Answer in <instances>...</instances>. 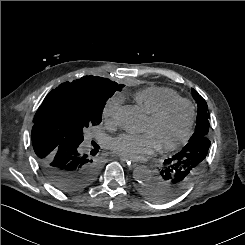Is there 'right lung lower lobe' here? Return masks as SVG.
Wrapping results in <instances>:
<instances>
[{"label":"right lung lower lobe","instance_id":"right-lung-lower-lobe-1","mask_svg":"<svg viewBox=\"0 0 245 245\" xmlns=\"http://www.w3.org/2000/svg\"><path fill=\"white\" fill-rule=\"evenodd\" d=\"M32 145L43 175L65 193L87 188L99 173L98 161L82 154L80 143L64 138L48 126L32 131Z\"/></svg>","mask_w":245,"mask_h":245}]
</instances>
